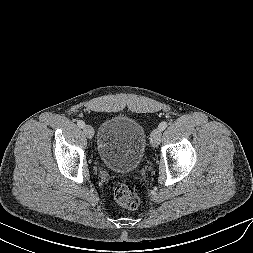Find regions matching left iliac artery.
<instances>
[{"mask_svg": "<svg viewBox=\"0 0 253 253\" xmlns=\"http://www.w3.org/2000/svg\"><path fill=\"white\" fill-rule=\"evenodd\" d=\"M167 125H168L167 122L163 121V122H161V123L159 124L158 128H159L161 131H163L164 129H166Z\"/></svg>", "mask_w": 253, "mask_h": 253, "instance_id": "1", "label": "left iliac artery"}]
</instances>
